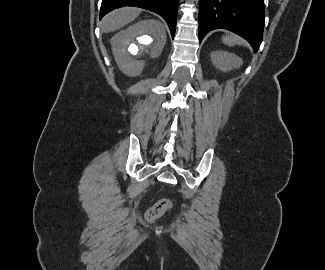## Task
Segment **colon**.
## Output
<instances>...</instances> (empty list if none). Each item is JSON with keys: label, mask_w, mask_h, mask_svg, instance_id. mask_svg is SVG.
I'll return each mask as SVG.
<instances>
[{"label": "colon", "mask_w": 325, "mask_h": 270, "mask_svg": "<svg viewBox=\"0 0 325 270\" xmlns=\"http://www.w3.org/2000/svg\"><path fill=\"white\" fill-rule=\"evenodd\" d=\"M171 208L172 202L169 199H160L147 210L146 218L148 221H154Z\"/></svg>", "instance_id": "1"}]
</instances>
